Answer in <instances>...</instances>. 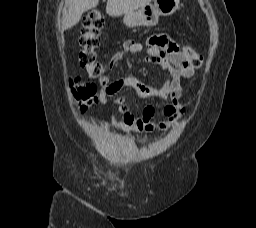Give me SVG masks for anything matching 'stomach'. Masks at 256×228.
Returning a JSON list of instances; mask_svg holds the SVG:
<instances>
[{"label": "stomach", "instance_id": "obj_1", "mask_svg": "<svg viewBox=\"0 0 256 228\" xmlns=\"http://www.w3.org/2000/svg\"><path fill=\"white\" fill-rule=\"evenodd\" d=\"M180 0H153L146 5L124 14V24L127 27L147 26L158 24L159 16H170L179 7Z\"/></svg>", "mask_w": 256, "mask_h": 228}]
</instances>
